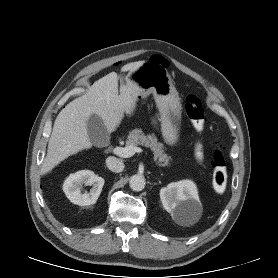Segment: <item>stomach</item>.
<instances>
[{
    "label": "stomach",
    "mask_w": 278,
    "mask_h": 278,
    "mask_svg": "<svg viewBox=\"0 0 278 278\" xmlns=\"http://www.w3.org/2000/svg\"><path fill=\"white\" fill-rule=\"evenodd\" d=\"M129 78L142 89L141 97L153 94L163 139L170 145L176 144L179 138V96L164 65L155 61H143L129 74Z\"/></svg>",
    "instance_id": "0dacf381"
}]
</instances>
